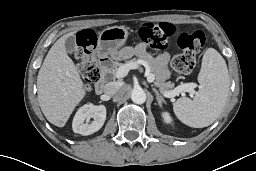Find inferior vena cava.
Here are the masks:
<instances>
[{"mask_svg":"<svg viewBox=\"0 0 256 171\" xmlns=\"http://www.w3.org/2000/svg\"><path fill=\"white\" fill-rule=\"evenodd\" d=\"M118 90H119V87L115 82H108L104 86V93L108 96H114L118 92Z\"/></svg>","mask_w":256,"mask_h":171,"instance_id":"inferior-vena-cava-1","label":"inferior vena cava"}]
</instances>
